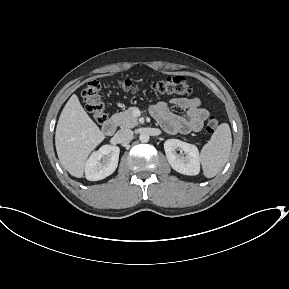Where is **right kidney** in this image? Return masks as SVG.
Returning <instances> with one entry per match:
<instances>
[{
	"label": "right kidney",
	"instance_id": "right-kidney-1",
	"mask_svg": "<svg viewBox=\"0 0 289 289\" xmlns=\"http://www.w3.org/2000/svg\"><path fill=\"white\" fill-rule=\"evenodd\" d=\"M119 153V147L112 145H103L93 152L85 163L86 179L98 181L111 175L118 166Z\"/></svg>",
	"mask_w": 289,
	"mask_h": 289
}]
</instances>
